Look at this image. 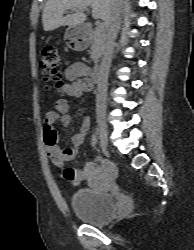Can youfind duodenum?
<instances>
[{
	"instance_id": "1",
	"label": "duodenum",
	"mask_w": 194,
	"mask_h": 250,
	"mask_svg": "<svg viewBox=\"0 0 194 250\" xmlns=\"http://www.w3.org/2000/svg\"><path fill=\"white\" fill-rule=\"evenodd\" d=\"M101 73V66L99 64L94 65L92 69V81L94 83L99 82Z\"/></svg>"
}]
</instances>
